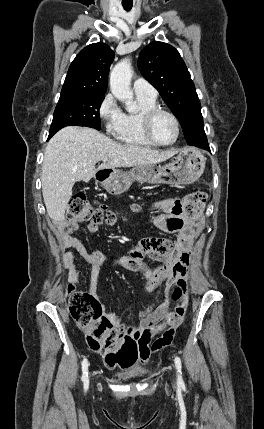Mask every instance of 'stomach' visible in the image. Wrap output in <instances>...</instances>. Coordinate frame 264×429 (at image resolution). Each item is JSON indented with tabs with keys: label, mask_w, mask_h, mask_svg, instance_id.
<instances>
[{
	"label": "stomach",
	"mask_w": 264,
	"mask_h": 429,
	"mask_svg": "<svg viewBox=\"0 0 264 429\" xmlns=\"http://www.w3.org/2000/svg\"><path fill=\"white\" fill-rule=\"evenodd\" d=\"M206 158L193 147L180 150L175 160L164 166L158 163L136 166L129 172L117 169H101L95 179L105 190L114 195L126 192L134 180L148 183L188 185L196 182L205 168Z\"/></svg>",
	"instance_id": "1"
}]
</instances>
